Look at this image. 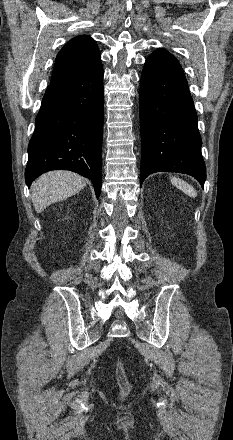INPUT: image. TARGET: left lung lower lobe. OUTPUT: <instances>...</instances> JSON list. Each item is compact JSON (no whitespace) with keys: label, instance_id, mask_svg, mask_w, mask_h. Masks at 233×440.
Listing matches in <instances>:
<instances>
[{"label":"left lung lower lobe","instance_id":"left-lung-lower-lobe-1","mask_svg":"<svg viewBox=\"0 0 233 440\" xmlns=\"http://www.w3.org/2000/svg\"><path fill=\"white\" fill-rule=\"evenodd\" d=\"M140 185L155 172H180L202 187L206 168L197 114L178 60L157 50L147 59L140 82Z\"/></svg>","mask_w":233,"mask_h":440}]
</instances>
